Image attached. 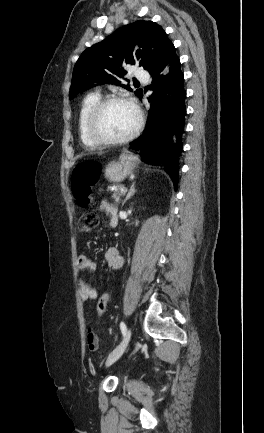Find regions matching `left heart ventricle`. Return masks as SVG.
<instances>
[{
    "instance_id": "1",
    "label": "left heart ventricle",
    "mask_w": 264,
    "mask_h": 433,
    "mask_svg": "<svg viewBox=\"0 0 264 433\" xmlns=\"http://www.w3.org/2000/svg\"><path fill=\"white\" fill-rule=\"evenodd\" d=\"M136 124V113L125 103L109 105L101 114L98 130L110 138H120L127 135Z\"/></svg>"
}]
</instances>
